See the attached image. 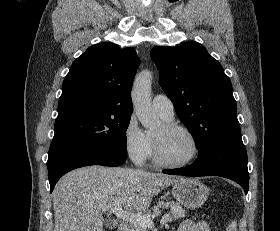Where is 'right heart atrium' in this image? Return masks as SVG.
<instances>
[{
    "label": "right heart atrium",
    "mask_w": 280,
    "mask_h": 231,
    "mask_svg": "<svg viewBox=\"0 0 280 231\" xmlns=\"http://www.w3.org/2000/svg\"><path fill=\"white\" fill-rule=\"evenodd\" d=\"M122 140L125 152L136 163L142 164L150 157L151 141L133 116L129 117L124 126Z\"/></svg>",
    "instance_id": "1"
}]
</instances>
